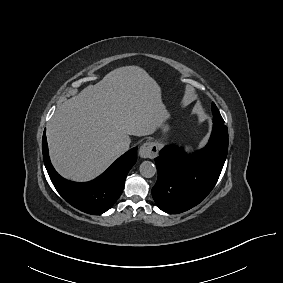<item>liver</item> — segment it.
<instances>
[{"instance_id":"obj_1","label":"liver","mask_w":283,"mask_h":283,"mask_svg":"<svg viewBox=\"0 0 283 283\" xmlns=\"http://www.w3.org/2000/svg\"><path fill=\"white\" fill-rule=\"evenodd\" d=\"M166 118L156 81L138 66L117 68L57 107L47 127L52 164L67 179L89 181L126 151L124 136L153 134Z\"/></svg>"}]
</instances>
